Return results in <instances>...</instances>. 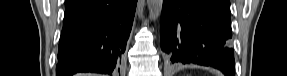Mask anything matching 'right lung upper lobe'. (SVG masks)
<instances>
[{"label":"right lung upper lobe","instance_id":"right-lung-upper-lobe-1","mask_svg":"<svg viewBox=\"0 0 287 76\" xmlns=\"http://www.w3.org/2000/svg\"><path fill=\"white\" fill-rule=\"evenodd\" d=\"M68 2V5H70L71 3H73L75 0H66Z\"/></svg>","mask_w":287,"mask_h":76}]
</instances>
